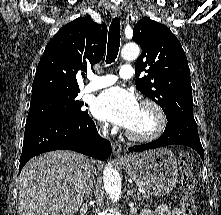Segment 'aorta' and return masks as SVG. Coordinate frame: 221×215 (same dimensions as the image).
<instances>
[{
    "label": "aorta",
    "instance_id": "obj_1",
    "mask_svg": "<svg viewBox=\"0 0 221 215\" xmlns=\"http://www.w3.org/2000/svg\"><path fill=\"white\" fill-rule=\"evenodd\" d=\"M140 54V48L135 43H128L124 45L121 50V56L123 59L132 61L138 58ZM103 182L104 188L109 195L112 202H117L121 196L122 186L121 178L116 169L113 168L112 163L108 162L103 170Z\"/></svg>",
    "mask_w": 221,
    "mask_h": 215
}]
</instances>
